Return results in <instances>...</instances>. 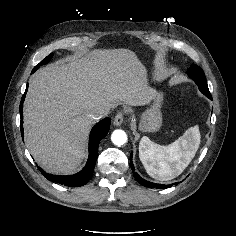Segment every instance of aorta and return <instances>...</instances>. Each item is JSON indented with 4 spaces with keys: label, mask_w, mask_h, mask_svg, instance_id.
<instances>
[{
    "label": "aorta",
    "mask_w": 236,
    "mask_h": 236,
    "mask_svg": "<svg viewBox=\"0 0 236 236\" xmlns=\"http://www.w3.org/2000/svg\"><path fill=\"white\" fill-rule=\"evenodd\" d=\"M112 142L117 146H122L127 142V135L123 130H115L111 135Z\"/></svg>",
    "instance_id": "1"
}]
</instances>
